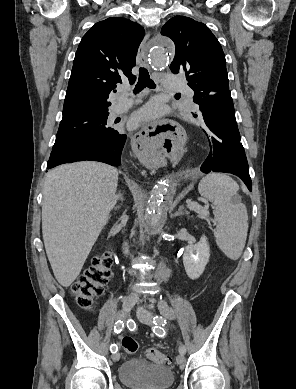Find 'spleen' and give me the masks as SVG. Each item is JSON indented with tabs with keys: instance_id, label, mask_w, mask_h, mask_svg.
I'll return each mask as SVG.
<instances>
[{
	"instance_id": "1",
	"label": "spleen",
	"mask_w": 296,
	"mask_h": 389,
	"mask_svg": "<svg viewBox=\"0 0 296 389\" xmlns=\"http://www.w3.org/2000/svg\"><path fill=\"white\" fill-rule=\"evenodd\" d=\"M238 189L231 177L220 173L206 175L198 185L200 195L215 205L216 243L232 260L241 256L248 231L247 209L237 197Z\"/></svg>"
}]
</instances>
